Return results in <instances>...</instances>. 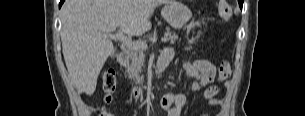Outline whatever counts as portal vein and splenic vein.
Instances as JSON below:
<instances>
[{"instance_id": "1", "label": "portal vein and splenic vein", "mask_w": 305, "mask_h": 116, "mask_svg": "<svg viewBox=\"0 0 305 116\" xmlns=\"http://www.w3.org/2000/svg\"><path fill=\"white\" fill-rule=\"evenodd\" d=\"M107 35L113 39L122 41L130 49H141V50L147 49L146 42L144 41L132 42V40L129 37L125 36L121 31H118L115 35H112L110 33H108ZM167 40H168L167 37L161 38L162 42H166Z\"/></svg>"}]
</instances>
